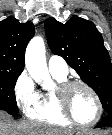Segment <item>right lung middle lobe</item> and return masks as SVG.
<instances>
[{
	"instance_id": "dd1d6c3e",
	"label": "right lung middle lobe",
	"mask_w": 112,
	"mask_h": 135,
	"mask_svg": "<svg viewBox=\"0 0 112 135\" xmlns=\"http://www.w3.org/2000/svg\"><path fill=\"white\" fill-rule=\"evenodd\" d=\"M21 72H0V110L16 116L18 107L16 104L14 87Z\"/></svg>"
}]
</instances>
